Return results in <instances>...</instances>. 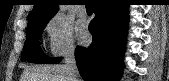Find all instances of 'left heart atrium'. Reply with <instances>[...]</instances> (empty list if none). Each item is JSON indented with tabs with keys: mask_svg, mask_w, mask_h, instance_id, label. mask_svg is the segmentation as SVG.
Returning <instances> with one entry per match:
<instances>
[{
	"mask_svg": "<svg viewBox=\"0 0 169 81\" xmlns=\"http://www.w3.org/2000/svg\"><path fill=\"white\" fill-rule=\"evenodd\" d=\"M77 36L80 39V41H82V42H85V41L88 40L89 34H88V31H87L86 24L81 23V24L78 25Z\"/></svg>",
	"mask_w": 169,
	"mask_h": 81,
	"instance_id": "39dd6f15",
	"label": "left heart atrium"
}]
</instances>
